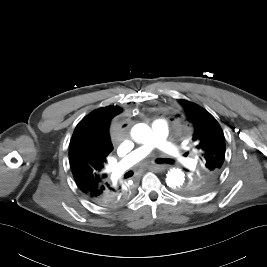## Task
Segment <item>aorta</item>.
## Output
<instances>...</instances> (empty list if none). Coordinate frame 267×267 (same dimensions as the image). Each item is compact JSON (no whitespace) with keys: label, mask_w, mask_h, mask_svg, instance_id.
Returning <instances> with one entry per match:
<instances>
[{"label":"aorta","mask_w":267,"mask_h":267,"mask_svg":"<svg viewBox=\"0 0 267 267\" xmlns=\"http://www.w3.org/2000/svg\"><path fill=\"white\" fill-rule=\"evenodd\" d=\"M133 139L139 143H148L151 140L152 132L148 125L139 123L131 130ZM185 181V174L178 168H172L166 174V184L170 188H180Z\"/></svg>","instance_id":"1"}]
</instances>
